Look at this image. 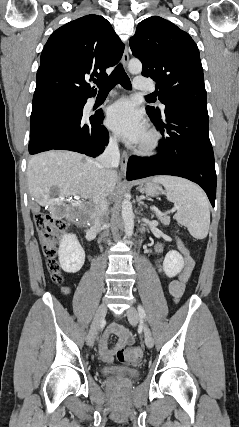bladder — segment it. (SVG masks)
Wrapping results in <instances>:
<instances>
[{"mask_svg": "<svg viewBox=\"0 0 239 427\" xmlns=\"http://www.w3.org/2000/svg\"><path fill=\"white\" fill-rule=\"evenodd\" d=\"M102 372L107 377L120 380H133L139 376V372L136 370H126L114 367L104 368Z\"/></svg>", "mask_w": 239, "mask_h": 427, "instance_id": "obj_1", "label": "bladder"}]
</instances>
